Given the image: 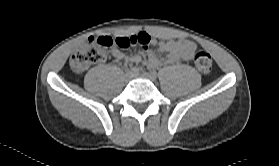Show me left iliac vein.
<instances>
[{"label":"left iliac vein","mask_w":279,"mask_h":166,"mask_svg":"<svg viewBox=\"0 0 279 166\" xmlns=\"http://www.w3.org/2000/svg\"><path fill=\"white\" fill-rule=\"evenodd\" d=\"M135 77L149 79L152 82L156 80V77L149 73L136 74Z\"/></svg>","instance_id":"4c4485c4"}]
</instances>
